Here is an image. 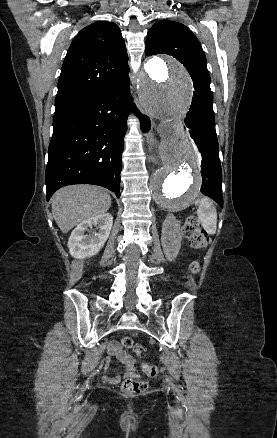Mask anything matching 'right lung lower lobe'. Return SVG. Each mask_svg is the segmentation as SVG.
Instances as JSON below:
<instances>
[{"instance_id": "right-lung-lower-lobe-1", "label": "right lung lower lobe", "mask_w": 277, "mask_h": 438, "mask_svg": "<svg viewBox=\"0 0 277 438\" xmlns=\"http://www.w3.org/2000/svg\"><path fill=\"white\" fill-rule=\"evenodd\" d=\"M115 67L97 65L100 72ZM82 68L77 65L74 69ZM128 74L121 80L55 109L45 173L47 200L70 184L100 185L120 197L121 155L130 105L143 131L150 127L131 102Z\"/></svg>"}]
</instances>
